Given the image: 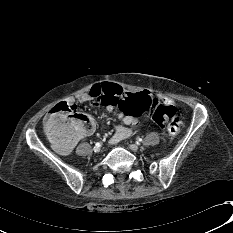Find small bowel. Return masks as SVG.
<instances>
[{"instance_id":"c3829d8e","label":"small bowel","mask_w":233,"mask_h":233,"mask_svg":"<svg viewBox=\"0 0 233 233\" xmlns=\"http://www.w3.org/2000/svg\"><path fill=\"white\" fill-rule=\"evenodd\" d=\"M110 83H113V82H110ZM92 87H91V89H92ZM91 89L88 92L79 94L77 96V100L81 103H91L94 107H98L100 104L107 111L114 110V106H111L110 104L100 103V102L95 101L91 96ZM159 100L164 105H173L174 106V101L167 96L161 95V96H159ZM65 104H68L72 107H75L74 100H68L67 103H65ZM137 116L138 115L130 116V115H127L126 113H123V112H120L118 114V117L122 121L123 125L116 126L115 133L112 137V143H118L121 140L133 135V133L135 132V130L138 128V125H139ZM74 144H75V142H72L68 145H62L61 143H56V147L60 153L65 154V153H68L73 148Z\"/></svg>"}]
</instances>
